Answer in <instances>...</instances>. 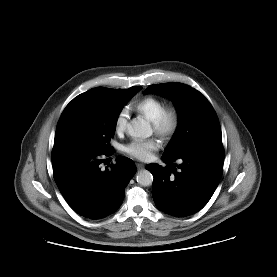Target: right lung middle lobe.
I'll list each match as a JSON object with an SVG mask.
<instances>
[{"label":"right lung middle lobe","instance_id":"1","mask_svg":"<svg viewBox=\"0 0 277 277\" xmlns=\"http://www.w3.org/2000/svg\"><path fill=\"white\" fill-rule=\"evenodd\" d=\"M141 89L93 88L75 97L64 109L54 144H68L100 152L113 151L117 118L123 106Z\"/></svg>","mask_w":277,"mask_h":277}]
</instances>
